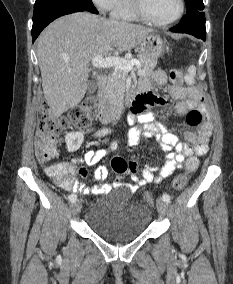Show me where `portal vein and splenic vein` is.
<instances>
[{
	"label": "portal vein and splenic vein",
	"mask_w": 233,
	"mask_h": 284,
	"mask_svg": "<svg viewBox=\"0 0 233 284\" xmlns=\"http://www.w3.org/2000/svg\"><path fill=\"white\" fill-rule=\"evenodd\" d=\"M93 67L97 68H119L125 72L133 69L134 66L140 67L141 63L136 59L126 60L120 57H103L102 55H97L92 59Z\"/></svg>",
	"instance_id": "obj_1"
}]
</instances>
